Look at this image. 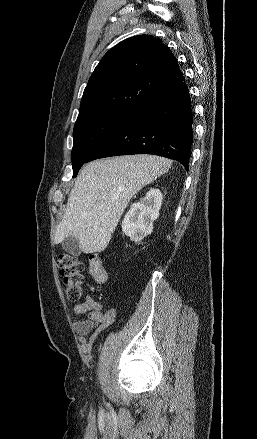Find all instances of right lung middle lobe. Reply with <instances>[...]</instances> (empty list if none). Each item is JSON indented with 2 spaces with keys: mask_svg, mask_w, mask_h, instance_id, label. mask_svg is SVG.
I'll return each instance as SVG.
<instances>
[{
  "mask_svg": "<svg viewBox=\"0 0 257 439\" xmlns=\"http://www.w3.org/2000/svg\"><path fill=\"white\" fill-rule=\"evenodd\" d=\"M128 115L114 112H97L78 116L73 135V177L91 153Z\"/></svg>",
  "mask_w": 257,
  "mask_h": 439,
  "instance_id": "dd1d6c3e",
  "label": "right lung middle lobe"
}]
</instances>
